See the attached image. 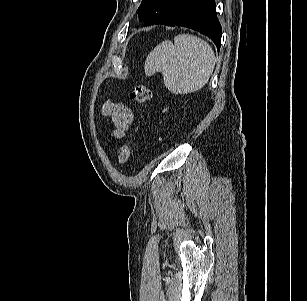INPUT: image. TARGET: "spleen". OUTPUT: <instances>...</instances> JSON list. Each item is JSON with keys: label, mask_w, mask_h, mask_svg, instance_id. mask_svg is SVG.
Segmentation results:
<instances>
[{"label": "spleen", "mask_w": 307, "mask_h": 301, "mask_svg": "<svg viewBox=\"0 0 307 301\" xmlns=\"http://www.w3.org/2000/svg\"><path fill=\"white\" fill-rule=\"evenodd\" d=\"M215 67V54L203 39L188 33L163 41L149 53L145 73L161 72L165 87L174 94L198 91L209 80Z\"/></svg>", "instance_id": "obj_1"}]
</instances>
